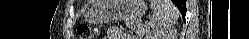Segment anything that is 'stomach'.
Wrapping results in <instances>:
<instances>
[{"label": "stomach", "instance_id": "obj_1", "mask_svg": "<svg viewBox=\"0 0 249 39\" xmlns=\"http://www.w3.org/2000/svg\"><path fill=\"white\" fill-rule=\"evenodd\" d=\"M146 12L144 0H97L85 15L91 24L112 20L136 21Z\"/></svg>", "mask_w": 249, "mask_h": 39}]
</instances>
